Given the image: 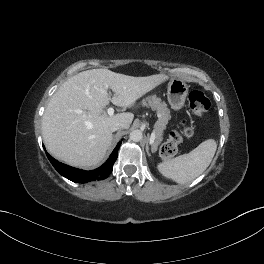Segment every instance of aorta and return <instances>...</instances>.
Instances as JSON below:
<instances>
[{"mask_svg":"<svg viewBox=\"0 0 264 264\" xmlns=\"http://www.w3.org/2000/svg\"><path fill=\"white\" fill-rule=\"evenodd\" d=\"M142 132L140 130H133L130 133V140L134 141V142H139L142 139Z\"/></svg>","mask_w":264,"mask_h":264,"instance_id":"obj_1","label":"aorta"}]
</instances>
